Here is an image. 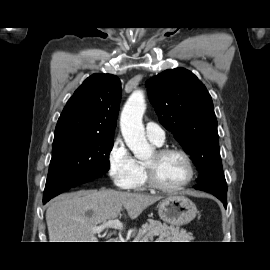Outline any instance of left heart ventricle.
I'll return each mask as SVG.
<instances>
[{
	"mask_svg": "<svg viewBox=\"0 0 270 270\" xmlns=\"http://www.w3.org/2000/svg\"><path fill=\"white\" fill-rule=\"evenodd\" d=\"M145 163L153 167L156 179L164 186H176L182 183L188 175L187 165L179 154L171 153L158 157L153 152Z\"/></svg>",
	"mask_w": 270,
	"mask_h": 270,
	"instance_id": "1",
	"label": "left heart ventricle"
}]
</instances>
